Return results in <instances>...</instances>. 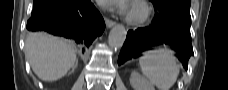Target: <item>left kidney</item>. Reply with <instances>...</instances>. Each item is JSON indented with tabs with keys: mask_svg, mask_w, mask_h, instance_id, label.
<instances>
[{
	"mask_svg": "<svg viewBox=\"0 0 228 90\" xmlns=\"http://www.w3.org/2000/svg\"><path fill=\"white\" fill-rule=\"evenodd\" d=\"M130 84L134 90H155L154 86L136 71L131 74Z\"/></svg>",
	"mask_w": 228,
	"mask_h": 90,
	"instance_id": "5707ae66",
	"label": "left kidney"
}]
</instances>
